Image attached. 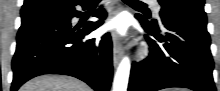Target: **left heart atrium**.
Here are the masks:
<instances>
[{"mask_svg":"<svg viewBox=\"0 0 220 91\" xmlns=\"http://www.w3.org/2000/svg\"><path fill=\"white\" fill-rule=\"evenodd\" d=\"M105 28L116 36H125L128 28L127 20L124 16L114 17L107 22Z\"/></svg>","mask_w":220,"mask_h":91,"instance_id":"obj_1","label":"left heart atrium"}]
</instances>
